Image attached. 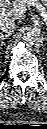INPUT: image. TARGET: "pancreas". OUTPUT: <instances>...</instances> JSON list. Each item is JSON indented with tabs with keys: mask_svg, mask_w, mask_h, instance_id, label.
<instances>
[{
	"mask_svg": "<svg viewBox=\"0 0 47 129\" xmlns=\"http://www.w3.org/2000/svg\"><path fill=\"white\" fill-rule=\"evenodd\" d=\"M32 0H14L13 3H14V6H18V5H25L26 7H29L31 6L30 2ZM35 1H40V3L44 6L47 5V0H35Z\"/></svg>",
	"mask_w": 47,
	"mask_h": 129,
	"instance_id": "pancreas-1",
	"label": "pancreas"
}]
</instances>
